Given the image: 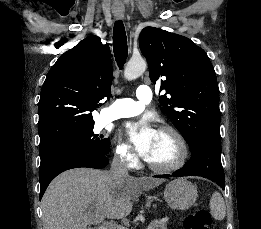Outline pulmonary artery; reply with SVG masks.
Masks as SVG:
<instances>
[{
	"mask_svg": "<svg viewBox=\"0 0 261 229\" xmlns=\"http://www.w3.org/2000/svg\"><path fill=\"white\" fill-rule=\"evenodd\" d=\"M136 97L139 102L131 99H118L106 109V117L116 120L139 115L144 109L143 104L151 101L152 90L148 86L141 85L136 90Z\"/></svg>",
	"mask_w": 261,
	"mask_h": 229,
	"instance_id": "pulmonary-artery-1",
	"label": "pulmonary artery"
}]
</instances>
